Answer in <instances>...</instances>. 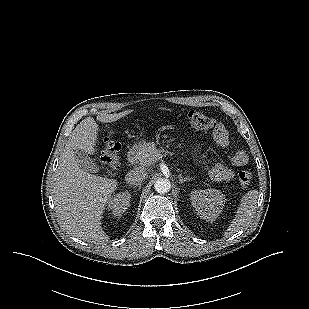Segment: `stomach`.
Listing matches in <instances>:
<instances>
[{
	"instance_id": "1",
	"label": "stomach",
	"mask_w": 309,
	"mask_h": 309,
	"mask_svg": "<svg viewBox=\"0 0 309 309\" xmlns=\"http://www.w3.org/2000/svg\"><path fill=\"white\" fill-rule=\"evenodd\" d=\"M144 143H145V140H142L138 145H136V149L139 150Z\"/></svg>"
}]
</instances>
